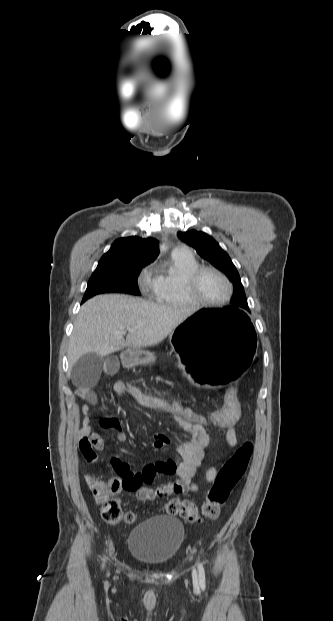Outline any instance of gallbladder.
I'll use <instances>...</instances> for the list:
<instances>
[{
  "label": "gallbladder",
  "instance_id": "1",
  "mask_svg": "<svg viewBox=\"0 0 333 621\" xmlns=\"http://www.w3.org/2000/svg\"><path fill=\"white\" fill-rule=\"evenodd\" d=\"M104 357L96 353H89L80 357L71 371V380L77 387H90L95 385L101 375Z\"/></svg>",
  "mask_w": 333,
  "mask_h": 621
}]
</instances>
